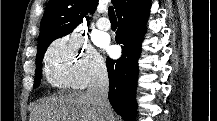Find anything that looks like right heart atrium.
<instances>
[{"instance_id":"1","label":"right heart atrium","mask_w":217,"mask_h":121,"mask_svg":"<svg viewBox=\"0 0 217 121\" xmlns=\"http://www.w3.org/2000/svg\"><path fill=\"white\" fill-rule=\"evenodd\" d=\"M45 74L57 88L82 89L107 74L102 56L81 35L55 40L45 54Z\"/></svg>"}]
</instances>
